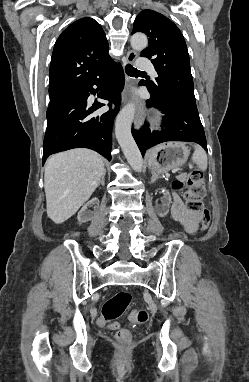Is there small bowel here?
I'll use <instances>...</instances> for the list:
<instances>
[{
    "instance_id": "small-bowel-1",
    "label": "small bowel",
    "mask_w": 249,
    "mask_h": 382,
    "mask_svg": "<svg viewBox=\"0 0 249 382\" xmlns=\"http://www.w3.org/2000/svg\"><path fill=\"white\" fill-rule=\"evenodd\" d=\"M171 212L175 221L180 223L186 232L194 233L197 230L200 215L184 209L183 203L177 195L173 197Z\"/></svg>"
}]
</instances>
